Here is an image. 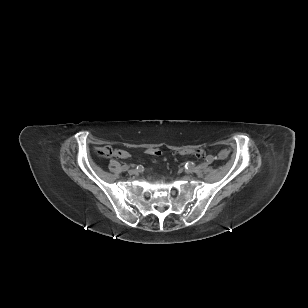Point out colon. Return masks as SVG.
<instances>
[{"instance_id":"obj_1","label":"colon","mask_w":308,"mask_h":308,"mask_svg":"<svg viewBox=\"0 0 308 308\" xmlns=\"http://www.w3.org/2000/svg\"><path fill=\"white\" fill-rule=\"evenodd\" d=\"M146 153L149 155H159L160 154L159 150L154 149V148L146 149ZM181 153L200 157L204 154V151L202 149H188V150H183ZM98 154L102 156L113 155L115 157L122 158V159L127 158L129 156L127 151L123 149H118V148L113 150L110 146H106V147L99 149Z\"/></svg>"}]
</instances>
